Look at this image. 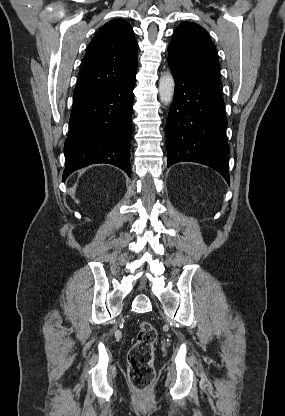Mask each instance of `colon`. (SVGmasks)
Instances as JSON below:
<instances>
[{"mask_svg":"<svg viewBox=\"0 0 285 416\" xmlns=\"http://www.w3.org/2000/svg\"><path fill=\"white\" fill-rule=\"evenodd\" d=\"M156 337L154 325L141 321L136 342L128 352L129 381L136 391L137 403L141 407L149 406L153 400L151 390L155 381L153 358Z\"/></svg>","mask_w":285,"mask_h":416,"instance_id":"colon-1","label":"colon"}]
</instances>
